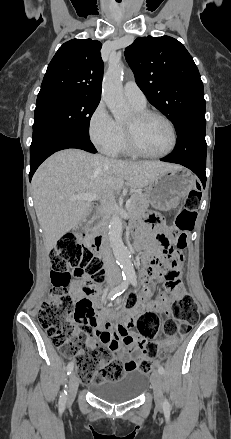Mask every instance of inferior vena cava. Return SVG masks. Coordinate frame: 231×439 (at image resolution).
<instances>
[{"label":"inferior vena cava","instance_id":"602c4592","mask_svg":"<svg viewBox=\"0 0 231 439\" xmlns=\"http://www.w3.org/2000/svg\"><path fill=\"white\" fill-rule=\"evenodd\" d=\"M103 260L106 265L108 275L111 276L119 274L108 243L103 245Z\"/></svg>","mask_w":231,"mask_h":439}]
</instances>
